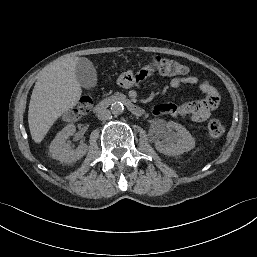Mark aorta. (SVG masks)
Instances as JSON below:
<instances>
[{"instance_id": "1", "label": "aorta", "mask_w": 257, "mask_h": 257, "mask_svg": "<svg viewBox=\"0 0 257 257\" xmlns=\"http://www.w3.org/2000/svg\"><path fill=\"white\" fill-rule=\"evenodd\" d=\"M124 111V106L121 102H114L111 105V112L113 115L118 116Z\"/></svg>"}]
</instances>
